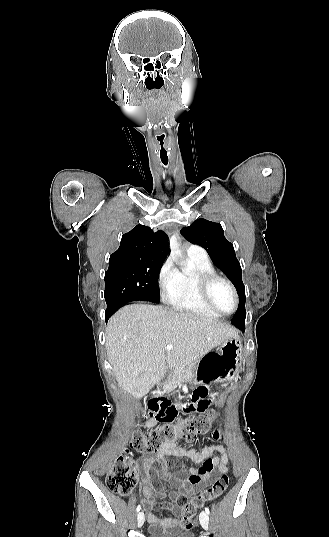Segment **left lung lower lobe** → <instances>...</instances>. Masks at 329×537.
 Here are the masks:
<instances>
[{
	"instance_id": "obj_1",
	"label": "left lung lower lobe",
	"mask_w": 329,
	"mask_h": 537,
	"mask_svg": "<svg viewBox=\"0 0 329 537\" xmlns=\"http://www.w3.org/2000/svg\"><path fill=\"white\" fill-rule=\"evenodd\" d=\"M241 330L244 332V330H245V326H244V327H241Z\"/></svg>"
}]
</instances>
